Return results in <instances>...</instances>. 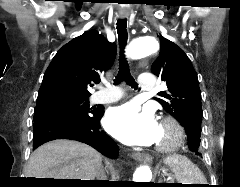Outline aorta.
<instances>
[{
	"label": "aorta",
	"mask_w": 240,
	"mask_h": 187,
	"mask_svg": "<svg viewBox=\"0 0 240 187\" xmlns=\"http://www.w3.org/2000/svg\"><path fill=\"white\" fill-rule=\"evenodd\" d=\"M159 44L154 37L142 36L135 38L129 45L127 54L131 59H140L156 53ZM152 172L148 166H140L133 174V182H150Z\"/></svg>",
	"instance_id": "obj_1"
}]
</instances>
